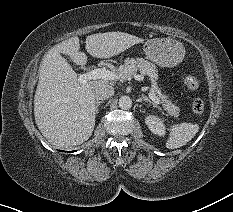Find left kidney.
Segmentation results:
<instances>
[{
	"label": "left kidney",
	"instance_id": "left-kidney-1",
	"mask_svg": "<svg viewBox=\"0 0 233 212\" xmlns=\"http://www.w3.org/2000/svg\"><path fill=\"white\" fill-rule=\"evenodd\" d=\"M145 123L147 124L148 128L158 136H164L166 133V128L164 126L163 120L160 118L150 115L147 116L145 119Z\"/></svg>",
	"mask_w": 233,
	"mask_h": 212
}]
</instances>
